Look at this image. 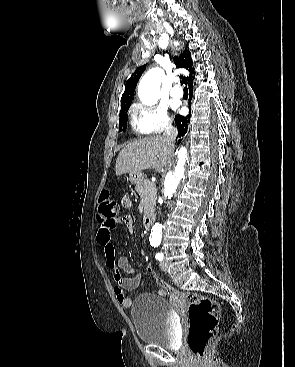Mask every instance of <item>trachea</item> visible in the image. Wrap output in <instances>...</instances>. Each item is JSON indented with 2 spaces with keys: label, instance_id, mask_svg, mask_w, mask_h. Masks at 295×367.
I'll list each match as a JSON object with an SVG mask.
<instances>
[{
  "label": "trachea",
  "instance_id": "obj_1",
  "mask_svg": "<svg viewBox=\"0 0 295 367\" xmlns=\"http://www.w3.org/2000/svg\"><path fill=\"white\" fill-rule=\"evenodd\" d=\"M184 83H185V82H184ZM184 91H188V88H187V86H185V87H184Z\"/></svg>",
  "mask_w": 295,
  "mask_h": 367
}]
</instances>
